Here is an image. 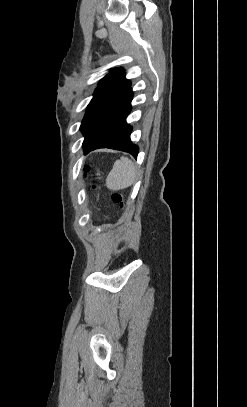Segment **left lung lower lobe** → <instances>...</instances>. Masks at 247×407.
Returning a JSON list of instances; mask_svg holds the SVG:
<instances>
[{"label":"left lung lower lobe","instance_id":"left-lung-lower-lobe-1","mask_svg":"<svg viewBox=\"0 0 247 407\" xmlns=\"http://www.w3.org/2000/svg\"><path fill=\"white\" fill-rule=\"evenodd\" d=\"M132 89L117 97L93 123L83 142L85 153L99 148H112L137 157L139 148L130 140L131 126L126 117L131 111Z\"/></svg>","mask_w":247,"mask_h":407}]
</instances>
